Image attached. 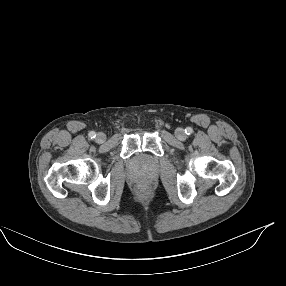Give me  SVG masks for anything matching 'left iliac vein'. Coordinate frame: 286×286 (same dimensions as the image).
Returning <instances> with one entry per match:
<instances>
[{
	"mask_svg": "<svg viewBox=\"0 0 286 286\" xmlns=\"http://www.w3.org/2000/svg\"><path fill=\"white\" fill-rule=\"evenodd\" d=\"M175 135L179 140H185V138H186L184 130L180 129V128L176 130Z\"/></svg>",
	"mask_w": 286,
	"mask_h": 286,
	"instance_id": "left-iliac-vein-1",
	"label": "left iliac vein"
}]
</instances>
